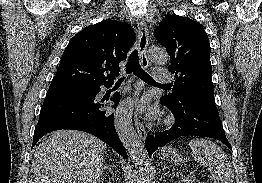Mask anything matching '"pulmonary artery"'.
<instances>
[{
	"instance_id": "e3ab8cb5",
	"label": "pulmonary artery",
	"mask_w": 262,
	"mask_h": 183,
	"mask_svg": "<svg viewBox=\"0 0 262 183\" xmlns=\"http://www.w3.org/2000/svg\"><path fill=\"white\" fill-rule=\"evenodd\" d=\"M153 74L157 82H169L170 81V78L165 74H161L159 69L154 70Z\"/></svg>"
}]
</instances>
